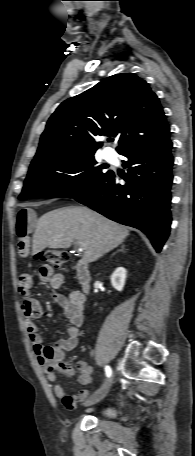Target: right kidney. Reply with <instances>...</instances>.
Returning <instances> with one entry per match:
<instances>
[{
	"label": "right kidney",
	"mask_w": 195,
	"mask_h": 456,
	"mask_svg": "<svg viewBox=\"0 0 195 456\" xmlns=\"http://www.w3.org/2000/svg\"><path fill=\"white\" fill-rule=\"evenodd\" d=\"M126 269L123 267L117 268L111 275V284L117 291H122L126 280Z\"/></svg>",
	"instance_id": "ca27d5eb"
}]
</instances>
